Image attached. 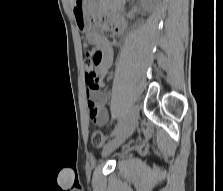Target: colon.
Here are the masks:
<instances>
[{
	"instance_id": "1",
	"label": "colon",
	"mask_w": 223,
	"mask_h": 191,
	"mask_svg": "<svg viewBox=\"0 0 223 191\" xmlns=\"http://www.w3.org/2000/svg\"><path fill=\"white\" fill-rule=\"evenodd\" d=\"M100 56L98 53H92L89 51L87 57L84 60L85 79L86 83L91 87L99 85L100 77L98 75V65ZM107 142V135L103 132L96 130L91 135V144L95 148H103Z\"/></svg>"
}]
</instances>
